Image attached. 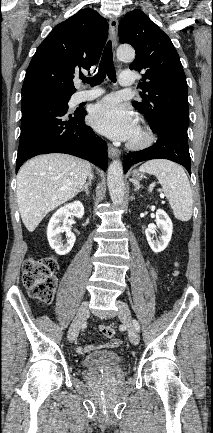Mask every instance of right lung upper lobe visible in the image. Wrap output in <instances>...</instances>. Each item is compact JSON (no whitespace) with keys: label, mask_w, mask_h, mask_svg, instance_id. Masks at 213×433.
<instances>
[{"label":"right lung upper lobe","mask_w":213,"mask_h":433,"mask_svg":"<svg viewBox=\"0 0 213 433\" xmlns=\"http://www.w3.org/2000/svg\"><path fill=\"white\" fill-rule=\"evenodd\" d=\"M108 37V23L85 8L56 25L38 46L26 71L22 96L34 93L72 95L81 68L96 64Z\"/></svg>","instance_id":"1"}]
</instances>
